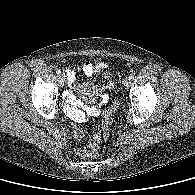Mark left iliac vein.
I'll return each mask as SVG.
<instances>
[{
    "mask_svg": "<svg viewBox=\"0 0 195 195\" xmlns=\"http://www.w3.org/2000/svg\"><path fill=\"white\" fill-rule=\"evenodd\" d=\"M129 85H130V79H129V78H125V79L123 80V86H124L125 88H128Z\"/></svg>",
    "mask_w": 195,
    "mask_h": 195,
    "instance_id": "1",
    "label": "left iliac vein"
}]
</instances>
